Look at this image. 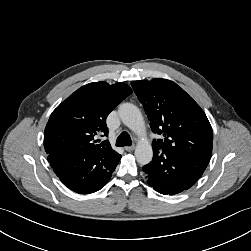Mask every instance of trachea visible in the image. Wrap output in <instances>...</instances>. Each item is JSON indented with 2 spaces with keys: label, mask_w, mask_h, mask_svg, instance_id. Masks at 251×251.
Segmentation results:
<instances>
[{
  "label": "trachea",
  "mask_w": 251,
  "mask_h": 251,
  "mask_svg": "<svg viewBox=\"0 0 251 251\" xmlns=\"http://www.w3.org/2000/svg\"><path fill=\"white\" fill-rule=\"evenodd\" d=\"M132 141L130 135L127 132H122L116 141V146L123 147V146H131Z\"/></svg>",
  "instance_id": "3493384b"
}]
</instances>
